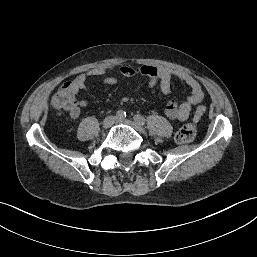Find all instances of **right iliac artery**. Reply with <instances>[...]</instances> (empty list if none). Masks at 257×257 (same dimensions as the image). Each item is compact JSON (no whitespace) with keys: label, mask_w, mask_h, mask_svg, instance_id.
Segmentation results:
<instances>
[{"label":"right iliac artery","mask_w":257,"mask_h":257,"mask_svg":"<svg viewBox=\"0 0 257 257\" xmlns=\"http://www.w3.org/2000/svg\"><path fill=\"white\" fill-rule=\"evenodd\" d=\"M117 118L124 119L126 117V112L123 110H119L116 114Z\"/></svg>","instance_id":"82829eb1"}]
</instances>
